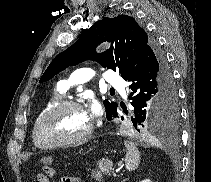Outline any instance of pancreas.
I'll use <instances>...</instances> for the list:
<instances>
[{
    "instance_id": "obj_1",
    "label": "pancreas",
    "mask_w": 211,
    "mask_h": 182,
    "mask_svg": "<svg viewBox=\"0 0 211 182\" xmlns=\"http://www.w3.org/2000/svg\"><path fill=\"white\" fill-rule=\"evenodd\" d=\"M98 168L101 170V172L110 175L112 170V164L109 161H99L98 162Z\"/></svg>"
}]
</instances>
